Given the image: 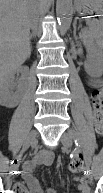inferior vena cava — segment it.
I'll return each mask as SVG.
<instances>
[{"mask_svg": "<svg viewBox=\"0 0 103 193\" xmlns=\"http://www.w3.org/2000/svg\"><path fill=\"white\" fill-rule=\"evenodd\" d=\"M39 2L42 3V0H39ZM44 7H45V6L41 4V8H40V9L42 10ZM31 26H32L33 28H35L32 19H31Z\"/></svg>", "mask_w": 103, "mask_h": 193, "instance_id": "1", "label": "inferior vena cava"}]
</instances>
